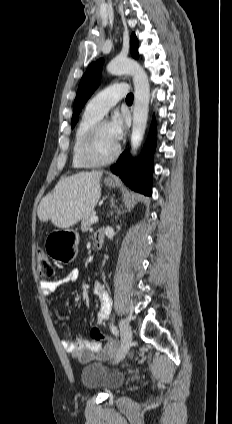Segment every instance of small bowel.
Masks as SVG:
<instances>
[{"mask_svg": "<svg viewBox=\"0 0 232 424\" xmlns=\"http://www.w3.org/2000/svg\"><path fill=\"white\" fill-rule=\"evenodd\" d=\"M79 275L80 272L78 269H72L59 280L42 281L40 284L41 291L44 295L50 296L58 286L76 282L79 279ZM93 293L100 301L102 309L110 304V297L101 283L97 282L94 284ZM104 319V313L101 311L98 316L97 323L102 324ZM62 344L65 351L70 356L82 363H88L95 359H110L114 357L118 351L117 345L112 349L108 344L102 345L86 338H77L76 340L64 339Z\"/></svg>", "mask_w": 232, "mask_h": 424, "instance_id": "1", "label": "small bowel"}]
</instances>
